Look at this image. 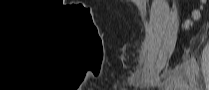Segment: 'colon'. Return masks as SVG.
<instances>
[{
  "instance_id": "1",
  "label": "colon",
  "mask_w": 209,
  "mask_h": 90,
  "mask_svg": "<svg viewBox=\"0 0 209 90\" xmlns=\"http://www.w3.org/2000/svg\"><path fill=\"white\" fill-rule=\"evenodd\" d=\"M200 17H201V8L194 10L193 13H192L191 19L185 22V27L186 28H190L191 27V24L194 21L199 20Z\"/></svg>"
}]
</instances>
